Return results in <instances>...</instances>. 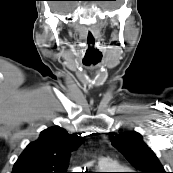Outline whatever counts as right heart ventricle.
Here are the masks:
<instances>
[{"mask_svg":"<svg viewBox=\"0 0 173 173\" xmlns=\"http://www.w3.org/2000/svg\"><path fill=\"white\" fill-rule=\"evenodd\" d=\"M99 168H101V169H110V168L124 169L123 167L119 166L118 163H116L115 161H113L110 158L100 159Z\"/></svg>","mask_w":173,"mask_h":173,"instance_id":"obj_1","label":"right heart ventricle"}]
</instances>
